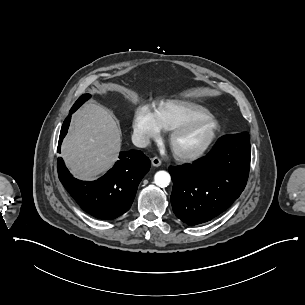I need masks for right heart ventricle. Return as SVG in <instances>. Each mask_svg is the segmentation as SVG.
I'll list each match as a JSON object with an SVG mask.
<instances>
[{
  "mask_svg": "<svg viewBox=\"0 0 305 305\" xmlns=\"http://www.w3.org/2000/svg\"><path fill=\"white\" fill-rule=\"evenodd\" d=\"M208 114H211V111L206 107L185 100H167L155 111L160 129L166 132H173L185 122Z\"/></svg>",
  "mask_w": 305,
  "mask_h": 305,
  "instance_id": "obj_1",
  "label": "right heart ventricle"
}]
</instances>
